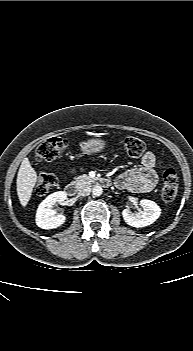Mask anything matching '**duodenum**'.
<instances>
[{
    "mask_svg": "<svg viewBox=\"0 0 193 351\" xmlns=\"http://www.w3.org/2000/svg\"><path fill=\"white\" fill-rule=\"evenodd\" d=\"M99 183L104 185V186H108L110 182L108 179L102 178L99 180ZM77 192H78V189H77L76 183L71 182L66 186V193L69 196H75L77 194Z\"/></svg>",
    "mask_w": 193,
    "mask_h": 351,
    "instance_id": "1",
    "label": "duodenum"
}]
</instances>
